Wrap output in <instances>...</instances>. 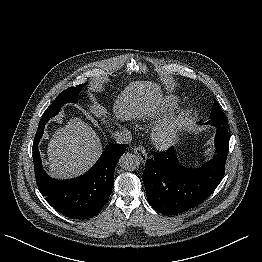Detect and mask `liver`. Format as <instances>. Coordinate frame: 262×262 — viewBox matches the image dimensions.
<instances>
[{
  "instance_id": "obj_1",
  "label": "liver",
  "mask_w": 262,
  "mask_h": 262,
  "mask_svg": "<svg viewBox=\"0 0 262 262\" xmlns=\"http://www.w3.org/2000/svg\"><path fill=\"white\" fill-rule=\"evenodd\" d=\"M159 86L151 81L130 82L117 96L113 112L117 119L131 120L155 113L162 103ZM102 152L96 132L82 119L74 117L57 129L48 145V172L54 178H72L83 174Z\"/></svg>"
}]
</instances>
